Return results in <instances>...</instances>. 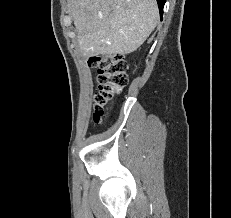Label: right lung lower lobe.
I'll return each instance as SVG.
<instances>
[{
  "label": "right lung lower lobe",
  "instance_id": "obj_1",
  "mask_svg": "<svg viewBox=\"0 0 231 218\" xmlns=\"http://www.w3.org/2000/svg\"><path fill=\"white\" fill-rule=\"evenodd\" d=\"M165 2H166V0H157L161 18H162L163 7H164Z\"/></svg>",
  "mask_w": 231,
  "mask_h": 218
}]
</instances>
